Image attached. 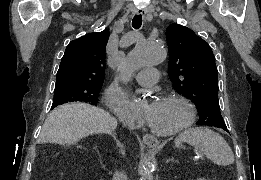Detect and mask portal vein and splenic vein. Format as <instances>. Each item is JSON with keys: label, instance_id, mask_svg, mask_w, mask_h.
Here are the masks:
<instances>
[{"label": "portal vein and splenic vein", "instance_id": "18ae733b", "mask_svg": "<svg viewBox=\"0 0 261 180\" xmlns=\"http://www.w3.org/2000/svg\"><path fill=\"white\" fill-rule=\"evenodd\" d=\"M200 157H203V154H200Z\"/></svg>", "mask_w": 261, "mask_h": 180}]
</instances>
